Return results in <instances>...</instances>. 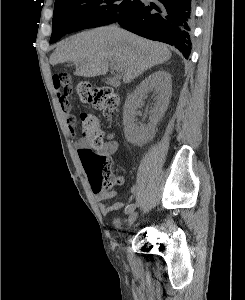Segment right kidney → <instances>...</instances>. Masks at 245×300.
Segmentation results:
<instances>
[{
  "label": "right kidney",
  "instance_id": "ca27d5eb",
  "mask_svg": "<svg viewBox=\"0 0 245 300\" xmlns=\"http://www.w3.org/2000/svg\"><path fill=\"white\" fill-rule=\"evenodd\" d=\"M153 92L155 102L152 118L148 126L137 123V109L148 93ZM172 92L171 76L160 70L149 75L136 90L127 97L123 108L124 133L128 142L142 145L155 133L158 121L163 117L169 104Z\"/></svg>",
  "mask_w": 245,
  "mask_h": 300
}]
</instances>
